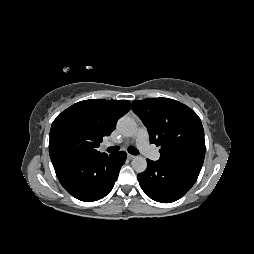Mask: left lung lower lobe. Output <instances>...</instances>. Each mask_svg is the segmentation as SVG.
Masks as SVG:
<instances>
[{"label": "left lung lower lobe", "instance_id": "left-lung-lower-lobe-1", "mask_svg": "<svg viewBox=\"0 0 254 254\" xmlns=\"http://www.w3.org/2000/svg\"><path fill=\"white\" fill-rule=\"evenodd\" d=\"M147 169L138 174L142 190L154 201L171 203L180 199L196 182L200 170L162 164L147 159Z\"/></svg>", "mask_w": 254, "mask_h": 254}]
</instances>
